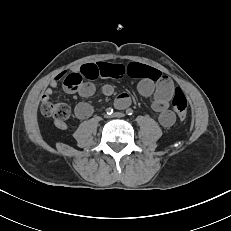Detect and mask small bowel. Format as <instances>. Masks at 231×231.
Returning <instances> with one entry per match:
<instances>
[{"mask_svg":"<svg viewBox=\"0 0 231 231\" xmlns=\"http://www.w3.org/2000/svg\"><path fill=\"white\" fill-rule=\"evenodd\" d=\"M157 72L159 77L153 79L150 71ZM78 73L88 81L82 83L77 89L78 94L82 97H90L95 92V86L91 80L97 78H121L125 75L139 79L138 91L144 97H152V108L158 115V121L163 127H170L174 124L176 117L175 114L169 109V103L175 93V86L173 81L166 75L158 70L140 64L130 63L123 64H110L105 62L87 63L82 65ZM66 72H60L49 82L48 87L42 94V100H49L59 82L66 77ZM111 85H105L102 88V93L105 96L113 94ZM131 102V98L127 93H121L115 100V105L118 108H124ZM94 112L92 105L86 102H81L75 107V116L84 120L89 118ZM56 126L62 130L67 128L64 122H56Z\"/></svg>","mask_w":231,"mask_h":231,"instance_id":"c3829d8e","label":"small bowel"}]
</instances>
